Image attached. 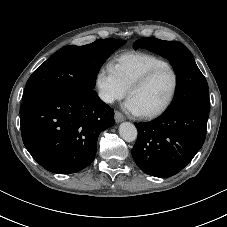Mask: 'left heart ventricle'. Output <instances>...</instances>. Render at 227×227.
I'll return each mask as SVG.
<instances>
[{
	"label": "left heart ventricle",
	"instance_id": "1",
	"mask_svg": "<svg viewBox=\"0 0 227 227\" xmlns=\"http://www.w3.org/2000/svg\"><path fill=\"white\" fill-rule=\"evenodd\" d=\"M174 78L169 70L155 75L145 86L135 90L130 98L134 100L141 113L152 112L160 108L169 98Z\"/></svg>",
	"mask_w": 227,
	"mask_h": 227
}]
</instances>
